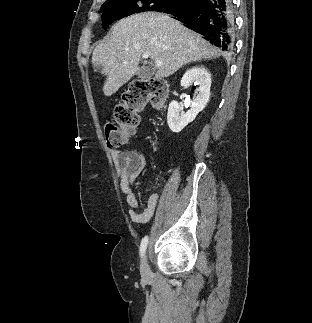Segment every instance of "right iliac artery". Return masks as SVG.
Masks as SVG:
<instances>
[{
	"label": "right iliac artery",
	"instance_id": "82829eb1",
	"mask_svg": "<svg viewBox=\"0 0 312 323\" xmlns=\"http://www.w3.org/2000/svg\"><path fill=\"white\" fill-rule=\"evenodd\" d=\"M147 244H148V236H145L142 241H141V245H140V254L141 256L144 255L146 248H147Z\"/></svg>",
	"mask_w": 312,
	"mask_h": 323
}]
</instances>
